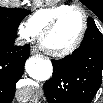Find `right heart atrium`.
<instances>
[{
    "instance_id": "right-heart-atrium-1",
    "label": "right heart atrium",
    "mask_w": 103,
    "mask_h": 103,
    "mask_svg": "<svg viewBox=\"0 0 103 103\" xmlns=\"http://www.w3.org/2000/svg\"><path fill=\"white\" fill-rule=\"evenodd\" d=\"M18 34L26 41H30L36 36L27 24H20L18 26Z\"/></svg>"
}]
</instances>
